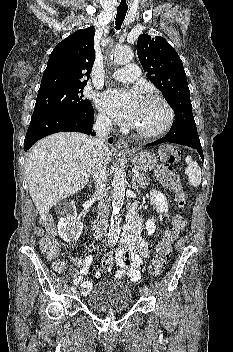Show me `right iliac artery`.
I'll return each instance as SVG.
<instances>
[{"mask_svg": "<svg viewBox=\"0 0 233 352\" xmlns=\"http://www.w3.org/2000/svg\"><path fill=\"white\" fill-rule=\"evenodd\" d=\"M72 292L76 291V288L74 286L71 287Z\"/></svg>", "mask_w": 233, "mask_h": 352, "instance_id": "right-iliac-artery-1", "label": "right iliac artery"}]
</instances>
